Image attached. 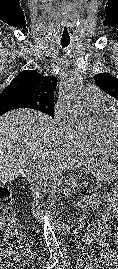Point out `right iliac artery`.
<instances>
[{"label": "right iliac artery", "mask_w": 118, "mask_h": 269, "mask_svg": "<svg viewBox=\"0 0 118 269\" xmlns=\"http://www.w3.org/2000/svg\"><path fill=\"white\" fill-rule=\"evenodd\" d=\"M57 262H58V256L57 255L51 256L46 261V266L44 268H46V269H52L56 265Z\"/></svg>", "instance_id": "1"}]
</instances>
